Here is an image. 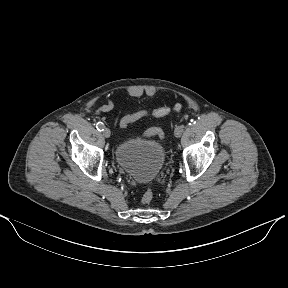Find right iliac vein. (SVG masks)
Here are the masks:
<instances>
[{
  "label": "right iliac vein",
  "instance_id": "right-iliac-vein-1",
  "mask_svg": "<svg viewBox=\"0 0 288 288\" xmlns=\"http://www.w3.org/2000/svg\"><path fill=\"white\" fill-rule=\"evenodd\" d=\"M102 133H103V136H104L105 138H109L110 135H111V132H110V130H109L108 128H104V130L102 131Z\"/></svg>",
  "mask_w": 288,
  "mask_h": 288
}]
</instances>
